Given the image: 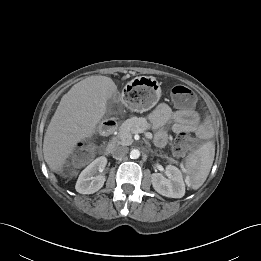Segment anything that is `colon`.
<instances>
[{
	"label": "colon",
	"mask_w": 261,
	"mask_h": 261,
	"mask_svg": "<svg viewBox=\"0 0 261 261\" xmlns=\"http://www.w3.org/2000/svg\"><path fill=\"white\" fill-rule=\"evenodd\" d=\"M172 97L175 103L181 107H191L195 103V94L194 92L183 85H176L171 89ZM193 141L186 135V133L179 134L174 142L173 149L176 153H185L193 147ZM92 155V151L89 146H82L75 150L73 153V161L80 163L89 160Z\"/></svg>",
	"instance_id": "obj_1"
}]
</instances>
